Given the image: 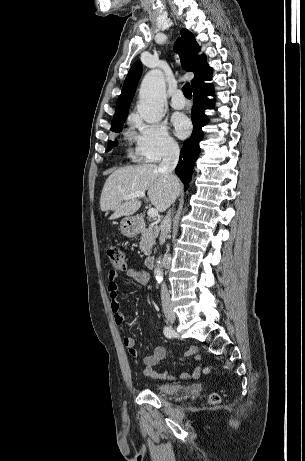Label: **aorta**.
Segmentation results:
<instances>
[{"label": "aorta", "mask_w": 305, "mask_h": 461, "mask_svg": "<svg viewBox=\"0 0 305 461\" xmlns=\"http://www.w3.org/2000/svg\"><path fill=\"white\" fill-rule=\"evenodd\" d=\"M138 111L147 123H157L164 116L166 88L163 74L160 70L149 71L144 77L139 91ZM162 262L156 261L154 276L158 284L163 281Z\"/></svg>", "instance_id": "1"}]
</instances>
